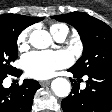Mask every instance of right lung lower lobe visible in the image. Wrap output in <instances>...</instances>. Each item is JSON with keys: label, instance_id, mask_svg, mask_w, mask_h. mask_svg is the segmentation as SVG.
Returning <instances> with one entry per match:
<instances>
[{"label": "right lung lower lobe", "instance_id": "1", "mask_svg": "<svg viewBox=\"0 0 112 112\" xmlns=\"http://www.w3.org/2000/svg\"><path fill=\"white\" fill-rule=\"evenodd\" d=\"M20 74L21 70L15 69L10 75ZM5 77H0V112H30L34 94L41 87L39 83L25 79L22 85L13 84L4 88L2 82Z\"/></svg>", "mask_w": 112, "mask_h": 112}]
</instances>
